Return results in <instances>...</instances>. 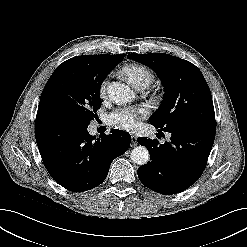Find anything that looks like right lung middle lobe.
I'll use <instances>...</instances> for the list:
<instances>
[{"instance_id": "dd1d6c3e", "label": "right lung middle lobe", "mask_w": 247, "mask_h": 247, "mask_svg": "<svg viewBox=\"0 0 247 247\" xmlns=\"http://www.w3.org/2000/svg\"><path fill=\"white\" fill-rule=\"evenodd\" d=\"M107 74L81 56L63 62L46 83L38 111L88 126L101 106L100 87Z\"/></svg>"}]
</instances>
